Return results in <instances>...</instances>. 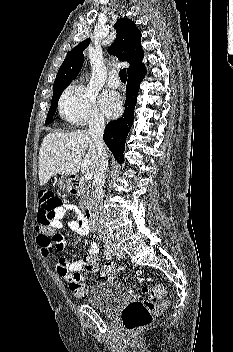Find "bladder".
<instances>
[{"mask_svg":"<svg viewBox=\"0 0 233 352\" xmlns=\"http://www.w3.org/2000/svg\"><path fill=\"white\" fill-rule=\"evenodd\" d=\"M126 298L124 287L117 282H100L88 295L90 306L104 314H114Z\"/></svg>","mask_w":233,"mask_h":352,"instance_id":"obj_1","label":"bladder"}]
</instances>
